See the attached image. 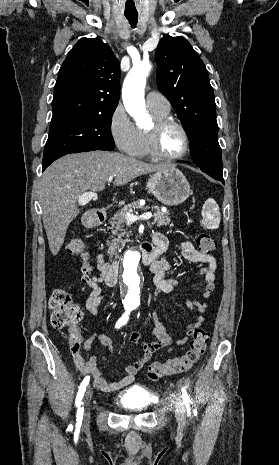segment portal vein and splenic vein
Returning a JSON list of instances; mask_svg holds the SVG:
<instances>
[{
  "label": "portal vein and splenic vein",
  "instance_id": "18ae733b",
  "mask_svg": "<svg viewBox=\"0 0 279 465\" xmlns=\"http://www.w3.org/2000/svg\"><path fill=\"white\" fill-rule=\"evenodd\" d=\"M112 180H113V176H110V177L108 178V182H111ZM93 196H94L93 193H91V192H86V193H84V194L82 195V197H81V202H84V200H86L88 197H89V198H92ZM151 217H152V213H151V212H146V213H144V214H142V215H140V216H137V215H134V214L128 212V213H126V217H125V218H126V220H127L128 222H135V221H137V220H149Z\"/></svg>",
  "mask_w": 279,
  "mask_h": 465
}]
</instances>
